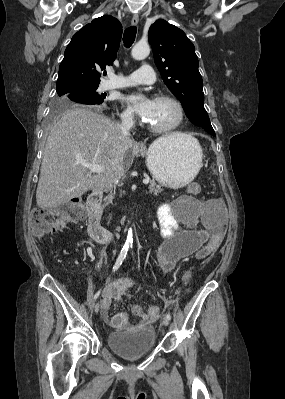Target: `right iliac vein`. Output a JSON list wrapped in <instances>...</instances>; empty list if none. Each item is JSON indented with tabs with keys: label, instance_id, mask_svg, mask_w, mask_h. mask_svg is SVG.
Listing matches in <instances>:
<instances>
[{
	"label": "right iliac vein",
	"instance_id": "obj_1",
	"mask_svg": "<svg viewBox=\"0 0 285 399\" xmlns=\"http://www.w3.org/2000/svg\"><path fill=\"white\" fill-rule=\"evenodd\" d=\"M99 308H100V303L99 301H97L94 305V311L97 313L99 311Z\"/></svg>",
	"mask_w": 285,
	"mask_h": 399
}]
</instances>
